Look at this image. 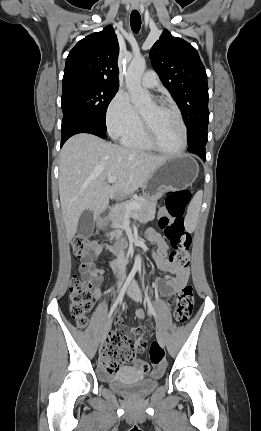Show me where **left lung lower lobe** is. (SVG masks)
Instances as JSON below:
<instances>
[{
    "mask_svg": "<svg viewBox=\"0 0 261 431\" xmlns=\"http://www.w3.org/2000/svg\"><path fill=\"white\" fill-rule=\"evenodd\" d=\"M206 143L199 142L189 146L188 151L200 156L203 160H206V151H205Z\"/></svg>",
    "mask_w": 261,
    "mask_h": 431,
    "instance_id": "left-lung-lower-lobe-1",
    "label": "left lung lower lobe"
}]
</instances>
